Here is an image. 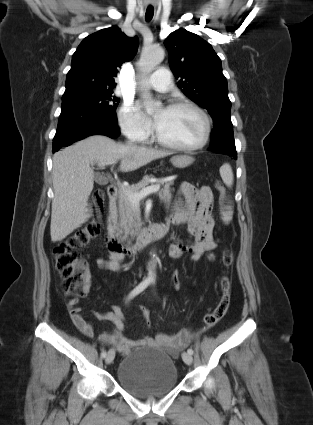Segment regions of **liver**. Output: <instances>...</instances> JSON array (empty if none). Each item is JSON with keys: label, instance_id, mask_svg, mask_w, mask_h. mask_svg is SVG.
Segmentation results:
<instances>
[{"label": "liver", "instance_id": "1", "mask_svg": "<svg viewBox=\"0 0 313 425\" xmlns=\"http://www.w3.org/2000/svg\"><path fill=\"white\" fill-rule=\"evenodd\" d=\"M171 154L123 145L102 135L90 136L56 152L53 156L51 241H62L91 217L88 198L94 185L92 163L121 160L120 170L128 172Z\"/></svg>", "mask_w": 313, "mask_h": 425}]
</instances>
